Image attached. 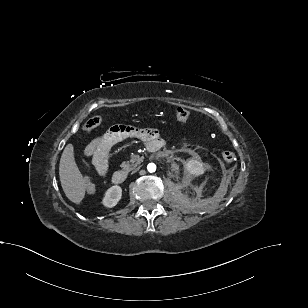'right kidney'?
Listing matches in <instances>:
<instances>
[{
    "label": "right kidney",
    "mask_w": 308,
    "mask_h": 308,
    "mask_svg": "<svg viewBox=\"0 0 308 308\" xmlns=\"http://www.w3.org/2000/svg\"><path fill=\"white\" fill-rule=\"evenodd\" d=\"M122 197V188L118 185L110 187L104 194L103 205L112 208L117 205Z\"/></svg>",
    "instance_id": "right-kidney-1"
}]
</instances>
